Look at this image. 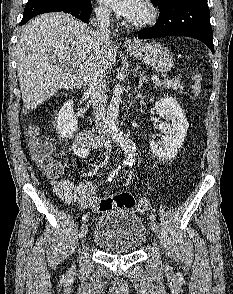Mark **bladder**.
Segmentation results:
<instances>
[{
    "label": "bladder",
    "mask_w": 233,
    "mask_h": 294,
    "mask_svg": "<svg viewBox=\"0 0 233 294\" xmlns=\"http://www.w3.org/2000/svg\"><path fill=\"white\" fill-rule=\"evenodd\" d=\"M147 231L143 220L132 210L115 207L105 211L97 220L93 242L109 253H131L145 242Z\"/></svg>",
    "instance_id": "31cf9c89"
}]
</instances>
